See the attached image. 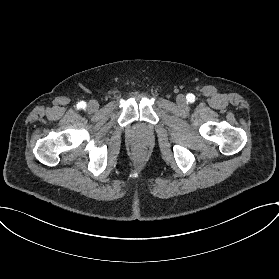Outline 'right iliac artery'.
Wrapping results in <instances>:
<instances>
[{"mask_svg":"<svg viewBox=\"0 0 279 279\" xmlns=\"http://www.w3.org/2000/svg\"><path fill=\"white\" fill-rule=\"evenodd\" d=\"M77 107L78 108H85L86 107V103L84 101H81L80 103H78Z\"/></svg>","mask_w":279,"mask_h":279,"instance_id":"1","label":"right iliac artery"}]
</instances>
